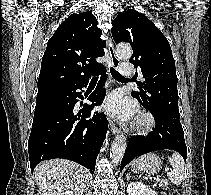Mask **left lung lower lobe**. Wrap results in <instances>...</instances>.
Returning <instances> with one entry per match:
<instances>
[{
	"mask_svg": "<svg viewBox=\"0 0 211 195\" xmlns=\"http://www.w3.org/2000/svg\"><path fill=\"white\" fill-rule=\"evenodd\" d=\"M149 111L154 116L155 129L147 136L137 135L130 138L121 162L120 171L137 156L163 149L179 152L186 161L187 147L179 117Z\"/></svg>",
	"mask_w": 211,
	"mask_h": 195,
	"instance_id": "obj_1",
	"label": "left lung lower lobe"
}]
</instances>
